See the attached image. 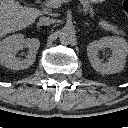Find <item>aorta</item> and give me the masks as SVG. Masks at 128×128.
I'll list each match as a JSON object with an SVG mask.
<instances>
[{
	"label": "aorta",
	"instance_id": "obj_1",
	"mask_svg": "<svg viewBox=\"0 0 128 128\" xmlns=\"http://www.w3.org/2000/svg\"><path fill=\"white\" fill-rule=\"evenodd\" d=\"M62 43H70L75 38V29L71 26H64L59 33Z\"/></svg>",
	"mask_w": 128,
	"mask_h": 128
}]
</instances>
